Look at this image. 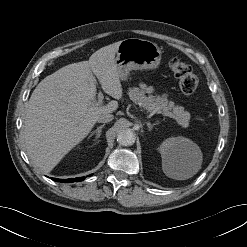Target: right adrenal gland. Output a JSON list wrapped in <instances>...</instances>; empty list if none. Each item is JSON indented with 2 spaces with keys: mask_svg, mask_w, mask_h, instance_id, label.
<instances>
[{
  "mask_svg": "<svg viewBox=\"0 0 247 247\" xmlns=\"http://www.w3.org/2000/svg\"><path fill=\"white\" fill-rule=\"evenodd\" d=\"M105 124L97 127V129L95 131H93L90 135L89 138L92 137L94 134H96V140L100 137L101 133H102V129L104 128Z\"/></svg>",
  "mask_w": 247,
  "mask_h": 247,
  "instance_id": "1",
  "label": "right adrenal gland"
}]
</instances>
